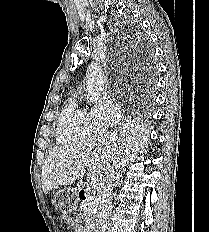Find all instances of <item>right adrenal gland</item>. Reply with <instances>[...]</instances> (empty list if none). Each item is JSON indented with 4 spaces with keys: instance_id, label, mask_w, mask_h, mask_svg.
<instances>
[{
    "instance_id": "2a0ac1e0",
    "label": "right adrenal gland",
    "mask_w": 209,
    "mask_h": 232,
    "mask_svg": "<svg viewBox=\"0 0 209 232\" xmlns=\"http://www.w3.org/2000/svg\"><path fill=\"white\" fill-rule=\"evenodd\" d=\"M121 177H122V173L119 171L116 176L115 187L119 184V180Z\"/></svg>"
}]
</instances>
